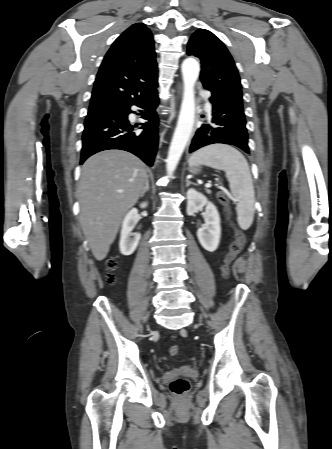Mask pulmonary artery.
Listing matches in <instances>:
<instances>
[{
  "label": "pulmonary artery",
  "mask_w": 332,
  "mask_h": 449,
  "mask_svg": "<svg viewBox=\"0 0 332 449\" xmlns=\"http://www.w3.org/2000/svg\"><path fill=\"white\" fill-rule=\"evenodd\" d=\"M206 109H208V110L210 109V104L209 103L206 104Z\"/></svg>",
  "instance_id": "e3ab8cb5"
}]
</instances>
